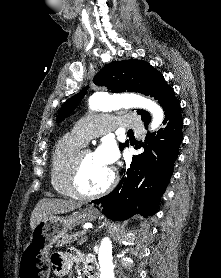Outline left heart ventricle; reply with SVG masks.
Listing matches in <instances>:
<instances>
[{
	"instance_id": "b2bd125f",
	"label": "left heart ventricle",
	"mask_w": 221,
	"mask_h": 278,
	"mask_svg": "<svg viewBox=\"0 0 221 278\" xmlns=\"http://www.w3.org/2000/svg\"><path fill=\"white\" fill-rule=\"evenodd\" d=\"M111 168L105 165L95 153L88 154L82 163L80 182L84 190L94 192L102 189L109 181Z\"/></svg>"
}]
</instances>
